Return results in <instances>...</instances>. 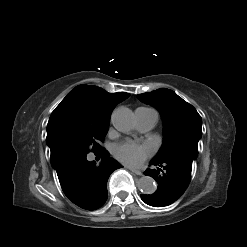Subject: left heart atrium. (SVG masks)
I'll use <instances>...</instances> for the list:
<instances>
[{"label":"left heart atrium","mask_w":247,"mask_h":247,"mask_svg":"<svg viewBox=\"0 0 247 247\" xmlns=\"http://www.w3.org/2000/svg\"><path fill=\"white\" fill-rule=\"evenodd\" d=\"M152 153V147L134 141H124L114 148L115 157L129 166H139Z\"/></svg>","instance_id":"39dd6f15"}]
</instances>
